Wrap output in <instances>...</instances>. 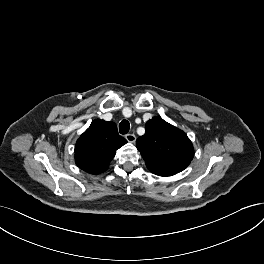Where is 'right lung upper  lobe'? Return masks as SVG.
I'll list each match as a JSON object with an SVG mask.
<instances>
[{
    "label": "right lung upper lobe",
    "instance_id": "right-lung-upper-lobe-1",
    "mask_svg": "<svg viewBox=\"0 0 264 264\" xmlns=\"http://www.w3.org/2000/svg\"><path fill=\"white\" fill-rule=\"evenodd\" d=\"M127 143L113 122L94 120L75 145V161L79 168L90 174L108 169L116 150Z\"/></svg>",
    "mask_w": 264,
    "mask_h": 264
}]
</instances>
